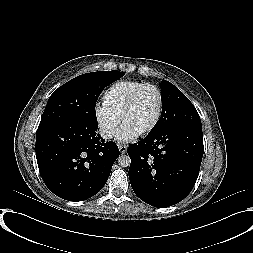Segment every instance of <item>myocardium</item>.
I'll return each mask as SVG.
<instances>
[{
  "label": "myocardium",
  "instance_id": "obj_1",
  "mask_svg": "<svg viewBox=\"0 0 253 253\" xmlns=\"http://www.w3.org/2000/svg\"><path fill=\"white\" fill-rule=\"evenodd\" d=\"M147 88H153L157 94H158V108H157V111H156V114L154 116V119L153 121L151 122V124L145 128L144 130L138 132V135L139 136H144V135H148L149 133H151L155 128L156 126L158 125L160 119H161V116H162V112H163V107H164V95H163V92L162 90L159 88V86H157L156 84H153V83H145L141 86H139L131 95L130 97L128 98V100L126 101L122 111H121V114H120V119H121V122L124 124V120H125V117L127 116V114L129 113V111L133 108V106L135 105L139 95L141 94V92Z\"/></svg>",
  "mask_w": 253,
  "mask_h": 253
}]
</instances>
